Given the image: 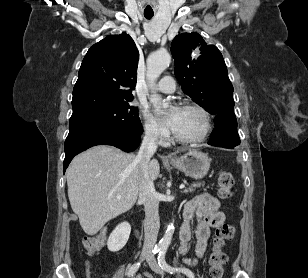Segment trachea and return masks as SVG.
Listing matches in <instances>:
<instances>
[{
    "mask_svg": "<svg viewBox=\"0 0 308 278\" xmlns=\"http://www.w3.org/2000/svg\"><path fill=\"white\" fill-rule=\"evenodd\" d=\"M154 13L153 12H144V17L146 19H151L153 17Z\"/></svg>",
    "mask_w": 308,
    "mask_h": 278,
    "instance_id": "3493384b",
    "label": "trachea"
}]
</instances>
